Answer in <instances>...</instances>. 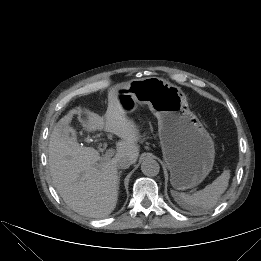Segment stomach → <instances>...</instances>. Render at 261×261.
<instances>
[{
  "mask_svg": "<svg viewBox=\"0 0 261 261\" xmlns=\"http://www.w3.org/2000/svg\"><path fill=\"white\" fill-rule=\"evenodd\" d=\"M117 98L126 113L148 105L156 116L174 189L193 188L207 177L214 164V141L179 87L159 77L134 79L117 90Z\"/></svg>",
  "mask_w": 261,
  "mask_h": 261,
  "instance_id": "1",
  "label": "stomach"
}]
</instances>
